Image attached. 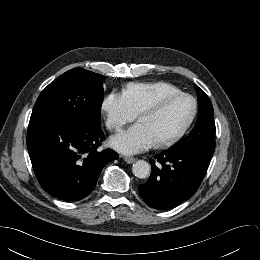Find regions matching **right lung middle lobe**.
<instances>
[{
	"mask_svg": "<svg viewBox=\"0 0 260 260\" xmlns=\"http://www.w3.org/2000/svg\"><path fill=\"white\" fill-rule=\"evenodd\" d=\"M104 76L77 68L50 83L39 95L30 120L74 119L99 127Z\"/></svg>",
	"mask_w": 260,
	"mask_h": 260,
	"instance_id": "1",
	"label": "right lung middle lobe"
}]
</instances>
